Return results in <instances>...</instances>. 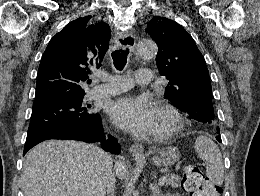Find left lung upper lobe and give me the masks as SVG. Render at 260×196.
Returning a JSON list of instances; mask_svg holds the SVG:
<instances>
[{"label": "left lung upper lobe", "mask_w": 260, "mask_h": 196, "mask_svg": "<svg viewBox=\"0 0 260 196\" xmlns=\"http://www.w3.org/2000/svg\"><path fill=\"white\" fill-rule=\"evenodd\" d=\"M146 32L159 48V73L169 80L165 99L189 116L197 107H213L209 72L191 35L177 22L161 16L149 21ZM204 124L218 128L216 119Z\"/></svg>", "instance_id": "left-lung-upper-lobe-1"}]
</instances>
